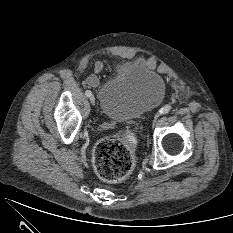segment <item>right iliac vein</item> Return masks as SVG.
<instances>
[{
	"instance_id": "63e3f726",
	"label": "right iliac vein",
	"mask_w": 233,
	"mask_h": 233,
	"mask_svg": "<svg viewBox=\"0 0 233 233\" xmlns=\"http://www.w3.org/2000/svg\"><path fill=\"white\" fill-rule=\"evenodd\" d=\"M91 104H95V97L93 95L89 96Z\"/></svg>"
}]
</instances>
